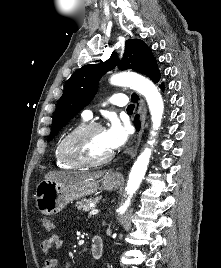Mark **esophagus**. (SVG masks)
I'll list each match as a JSON object with an SVG mask.
<instances>
[{"instance_id": "34e87169", "label": "esophagus", "mask_w": 221, "mask_h": 268, "mask_svg": "<svg viewBox=\"0 0 221 268\" xmlns=\"http://www.w3.org/2000/svg\"><path fill=\"white\" fill-rule=\"evenodd\" d=\"M146 112H147V110H146V106H145L144 101L143 100H139V104H138V108H137V113L140 116V120H141L142 125H143L144 120H145V117H146ZM142 132H143V126H141V129H140V131L137 134V140H136L135 147L132 150H130L131 157H134L136 155V153H137V147L139 145ZM111 176L112 177H120V174L118 172H112L111 173Z\"/></svg>"}]
</instances>
